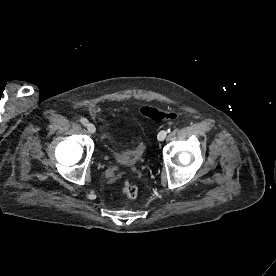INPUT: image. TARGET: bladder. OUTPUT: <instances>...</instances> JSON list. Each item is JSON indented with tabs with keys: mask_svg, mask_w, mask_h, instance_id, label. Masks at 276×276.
Returning a JSON list of instances; mask_svg holds the SVG:
<instances>
[{
	"mask_svg": "<svg viewBox=\"0 0 276 276\" xmlns=\"http://www.w3.org/2000/svg\"><path fill=\"white\" fill-rule=\"evenodd\" d=\"M143 155L141 146L126 148L120 151L112 152L110 158L120 165L133 167L138 164Z\"/></svg>",
	"mask_w": 276,
	"mask_h": 276,
	"instance_id": "1",
	"label": "bladder"
}]
</instances>
